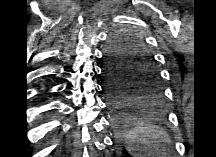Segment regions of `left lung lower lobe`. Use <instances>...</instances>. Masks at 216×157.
Here are the masks:
<instances>
[{
    "label": "left lung lower lobe",
    "mask_w": 216,
    "mask_h": 157,
    "mask_svg": "<svg viewBox=\"0 0 216 157\" xmlns=\"http://www.w3.org/2000/svg\"><path fill=\"white\" fill-rule=\"evenodd\" d=\"M104 88L109 96L110 107L115 115V129L119 134L127 133L137 121L133 113L135 101L131 90H125L119 84L111 83L104 64Z\"/></svg>",
    "instance_id": "obj_1"
}]
</instances>
